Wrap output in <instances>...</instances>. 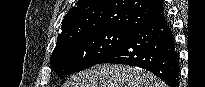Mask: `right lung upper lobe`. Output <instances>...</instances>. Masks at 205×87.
Instances as JSON below:
<instances>
[{
	"mask_svg": "<svg viewBox=\"0 0 205 87\" xmlns=\"http://www.w3.org/2000/svg\"><path fill=\"white\" fill-rule=\"evenodd\" d=\"M162 14L161 0H79L64 17L57 42L101 29L135 31Z\"/></svg>",
	"mask_w": 205,
	"mask_h": 87,
	"instance_id": "right-lung-upper-lobe-1",
	"label": "right lung upper lobe"
}]
</instances>
